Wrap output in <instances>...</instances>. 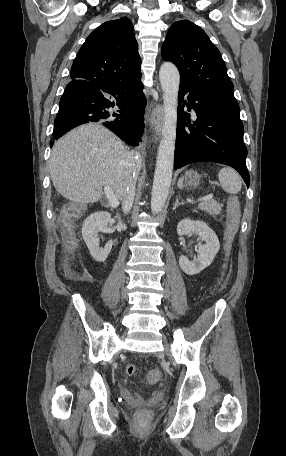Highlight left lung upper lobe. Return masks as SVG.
<instances>
[{
  "label": "left lung upper lobe",
  "instance_id": "left-lung-upper-lobe-1",
  "mask_svg": "<svg viewBox=\"0 0 286 456\" xmlns=\"http://www.w3.org/2000/svg\"><path fill=\"white\" fill-rule=\"evenodd\" d=\"M161 55L177 66L180 82L239 107L219 50L197 25L188 20L173 23Z\"/></svg>",
  "mask_w": 286,
  "mask_h": 456
}]
</instances>
